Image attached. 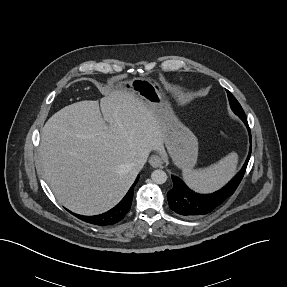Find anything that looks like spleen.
Instances as JSON below:
<instances>
[{
	"label": "spleen",
	"mask_w": 287,
	"mask_h": 287,
	"mask_svg": "<svg viewBox=\"0 0 287 287\" xmlns=\"http://www.w3.org/2000/svg\"><path fill=\"white\" fill-rule=\"evenodd\" d=\"M237 163V153L231 152L209 167L197 170L184 169L183 179L195 191L212 192L225 185L234 176Z\"/></svg>",
	"instance_id": "3e777b00"
}]
</instances>
